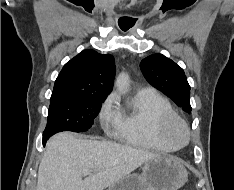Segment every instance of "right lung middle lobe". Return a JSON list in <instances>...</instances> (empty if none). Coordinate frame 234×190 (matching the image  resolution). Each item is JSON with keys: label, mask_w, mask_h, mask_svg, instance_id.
<instances>
[{"label": "right lung middle lobe", "mask_w": 234, "mask_h": 190, "mask_svg": "<svg viewBox=\"0 0 234 190\" xmlns=\"http://www.w3.org/2000/svg\"><path fill=\"white\" fill-rule=\"evenodd\" d=\"M105 99L52 92L43 138L61 131L83 132L92 127Z\"/></svg>", "instance_id": "1"}]
</instances>
